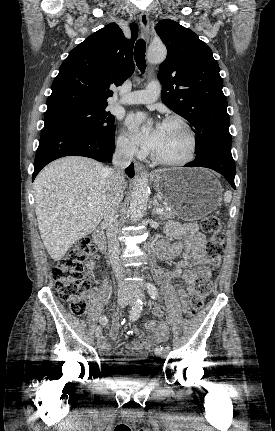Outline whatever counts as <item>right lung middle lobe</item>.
I'll use <instances>...</instances> for the list:
<instances>
[{
    "label": "right lung middle lobe",
    "mask_w": 275,
    "mask_h": 431,
    "mask_svg": "<svg viewBox=\"0 0 275 431\" xmlns=\"http://www.w3.org/2000/svg\"><path fill=\"white\" fill-rule=\"evenodd\" d=\"M105 105L81 106L46 112L44 128L69 126L86 131L113 136L114 116L106 112Z\"/></svg>",
    "instance_id": "right-lung-middle-lobe-1"
}]
</instances>
